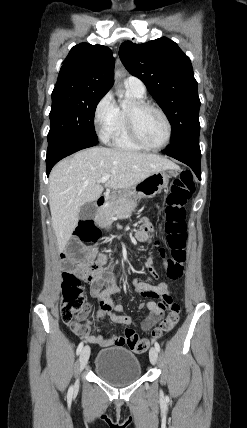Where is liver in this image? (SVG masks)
<instances>
[{"mask_svg": "<svg viewBox=\"0 0 247 428\" xmlns=\"http://www.w3.org/2000/svg\"><path fill=\"white\" fill-rule=\"evenodd\" d=\"M165 169L179 166L156 154L106 147L84 149L60 161L49 176V206L59 252L78 224L81 207L102 194L103 176H110L106 188L129 189Z\"/></svg>", "mask_w": 247, "mask_h": 428, "instance_id": "liver-1", "label": "liver"}]
</instances>
